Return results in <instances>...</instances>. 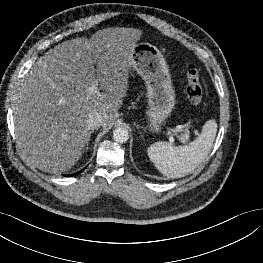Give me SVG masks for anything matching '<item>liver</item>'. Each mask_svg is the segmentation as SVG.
Segmentation results:
<instances>
[{"instance_id": "obj_1", "label": "liver", "mask_w": 263, "mask_h": 263, "mask_svg": "<svg viewBox=\"0 0 263 263\" xmlns=\"http://www.w3.org/2000/svg\"><path fill=\"white\" fill-rule=\"evenodd\" d=\"M141 35L139 29L106 28L89 39L66 40L38 59L13 98L15 137L28 162L48 173L65 172L84 152L88 114L100 113L104 128L113 125ZM95 83L104 92L90 93Z\"/></svg>"}]
</instances>
